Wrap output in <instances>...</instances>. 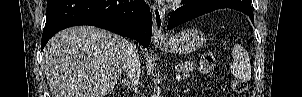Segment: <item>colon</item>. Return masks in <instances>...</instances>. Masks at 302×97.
Listing matches in <instances>:
<instances>
[{
    "mask_svg": "<svg viewBox=\"0 0 302 97\" xmlns=\"http://www.w3.org/2000/svg\"><path fill=\"white\" fill-rule=\"evenodd\" d=\"M215 66V57L211 53H206L202 57L199 68L202 73H209ZM234 91L240 93L246 89V83L243 80L235 79L232 83Z\"/></svg>",
    "mask_w": 302,
    "mask_h": 97,
    "instance_id": "colon-1",
    "label": "colon"
}]
</instances>
